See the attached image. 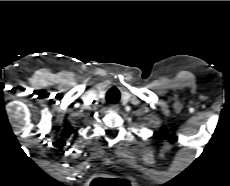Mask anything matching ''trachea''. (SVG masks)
<instances>
[{
  "label": "trachea",
  "instance_id": "obj_1",
  "mask_svg": "<svg viewBox=\"0 0 230 186\" xmlns=\"http://www.w3.org/2000/svg\"><path fill=\"white\" fill-rule=\"evenodd\" d=\"M120 99V92L116 87H112L106 94V100L108 103H117Z\"/></svg>",
  "mask_w": 230,
  "mask_h": 186
}]
</instances>
